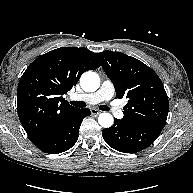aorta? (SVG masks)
Listing matches in <instances>:
<instances>
[{"label": "aorta", "instance_id": "aorta-1", "mask_svg": "<svg viewBox=\"0 0 193 193\" xmlns=\"http://www.w3.org/2000/svg\"><path fill=\"white\" fill-rule=\"evenodd\" d=\"M80 86L85 92H94L100 86V77L92 71L85 72L80 78ZM114 118L110 113H101L98 117V123L103 128H109L113 125Z\"/></svg>", "mask_w": 193, "mask_h": 193}]
</instances>
